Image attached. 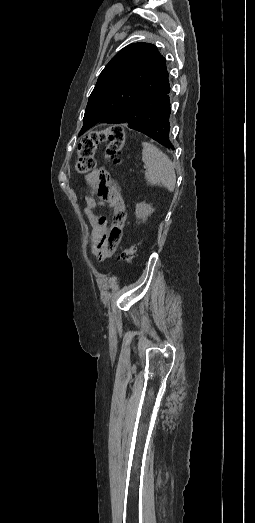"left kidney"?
<instances>
[{
  "label": "left kidney",
  "instance_id": "1",
  "mask_svg": "<svg viewBox=\"0 0 255 523\" xmlns=\"http://www.w3.org/2000/svg\"><path fill=\"white\" fill-rule=\"evenodd\" d=\"M154 210L152 206H149V204H145V202H141V204H136V210H135V216L136 218H140V220H147L148 216H151L153 214Z\"/></svg>",
  "mask_w": 255,
  "mask_h": 523
}]
</instances>
